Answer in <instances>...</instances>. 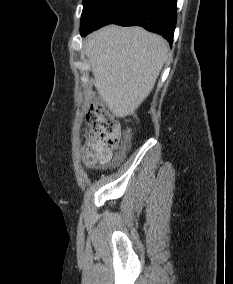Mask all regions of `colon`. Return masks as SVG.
I'll return each instance as SVG.
<instances>
[{
	"mask_svg": "<svg viewBox=\"0 0 233 284\" xmlns=\"http://www.w3.org/2000/svg\"><path fill=\"white\" fill-rule=\"evenodd\" d=\"M87 120L89 133L84 146L85 161L89 164L107 163L118 146V126L100 105L90 107Z\"/></svg>",
	"mask_w": 233,
	"mask_h": 284,
	"instance_id": "1",
	"label": "colon"
}]
</instances>
